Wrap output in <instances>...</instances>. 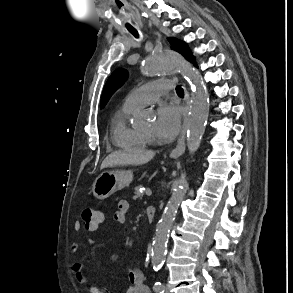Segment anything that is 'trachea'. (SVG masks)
Returning <instances> with one entry per match:
<instances>
[{
	"label": "trachea",
	"instance_id": "1",
	"mask_svg": "<svg viewBox=\"0 0 293 293\" xmlns=\"http://www.w3.org/2000/svg\"><path fill=\"white\" fill-rule=\"evenodd\" d=\"M129 32L132 34V35H134L136 38H138L139 37V35H138V32L135 30V29H129ZM182 88L180 87V86H178L177 88H176V92L177 93H182Z\"/></svg>",
	"mask_w": 293,
	"mask_h": 293
}]
</instances>
